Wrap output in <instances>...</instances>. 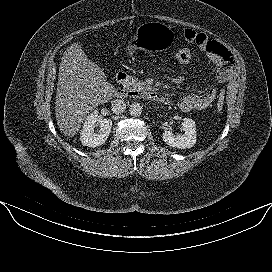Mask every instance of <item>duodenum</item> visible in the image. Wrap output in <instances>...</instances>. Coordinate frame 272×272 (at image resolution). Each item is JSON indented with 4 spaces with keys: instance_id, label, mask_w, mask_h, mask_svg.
Listing matches in <instances>:
<instances>
[{
    "instance_id": "obj_1",
    "label": "duodenum",
    "mask_w": 272,
    "mask_h": 272,
    "mask_svg": "<svg viewBox=\"0 0 272 272\" xmlns=\"http://www.w3.org/2000/svg\"><path fill=\"white\" fill-rule=\"evenodd\" d=\"M128 75L125 72H119L116 75V82L118 84L115 93L117 95L123 96L126 95L127 92L124 91V89L122 88V84L127 80ZM140 96L148 99L150 101L156 102V103H160V104H169V99L168 97H166L164 94L159 93L157 91L151 90V89H146L144 91H142L140 93Z\"/></svg>"
}]
</instances>
